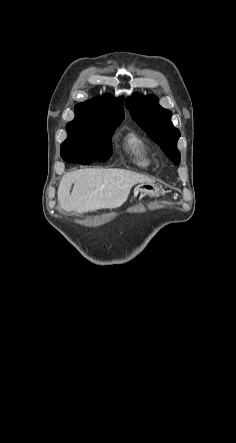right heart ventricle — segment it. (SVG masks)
Here are the masks:
<instances>
[{
  "mask_svg": "<svg viewBox=\"0 0 236 443\" xmlns=\"http://www.w3.org/2000/svg\"><path fill=\"white\" fill-rule=\"evenodd\" d=\"M123 146L137 167L147 169L152 165L153 159L149 146L139 134L128 133L124 138Z\"/></svg>",
  "mask_w": 236,
  "mask_h": 443,
  "instance_id": "e07e8e85",
  "label": "right heart ventricle"
}]
</instances>
